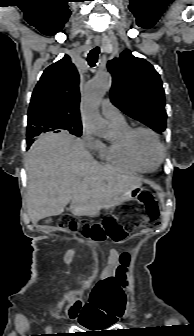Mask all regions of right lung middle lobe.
I'll use <instances>...</instances> for the list:
<instances>
[{
    "mask_svg": "<svg viewBox=\"0 0 194 336\" xmlns=\"http://www.w3.org/2000/svg\"><path fill=\"white\" fill-rule=\"evenodd\" d=\"M32 131H33V129L29 130V128H27V135H28L29 132H32ZM68 131L71 134L76 135V136L79 137L81 135V133H82V128H69Z\"/></svg>",
    "mask_w": 194,
    "mask_h": 336,
    "instance_id": "right-lung-middle-lobe-1",
    "label": "right lung middle lobe"
}]
</instances>
